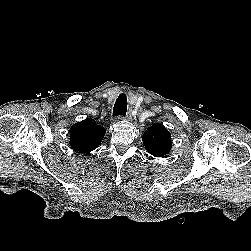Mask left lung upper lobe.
I'll use <instances>...</instances> for the list:
<instances>
[{"label": "left lung upper lobe", "instance_id": "obj_1", "mask_svg": "<svg viewBox=\"0 0 251 251\" xmlns=\"http://www.w3.org/2000/svg\"><path fill=\"white\" fill-rule=\"evenodd\" d=\"M142 140L146 150L156 157H164L172 147L171 134L161 124H155L148 128Z\"/></svg>", "mask_w": 251, "mask_h": 251}]
</instances>
